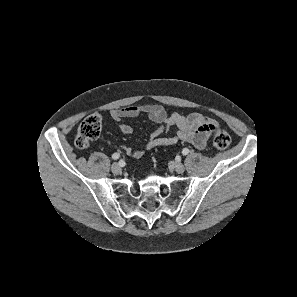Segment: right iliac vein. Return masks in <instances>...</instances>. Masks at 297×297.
I'll list each match as a JSON object with an SVG mask.
<instances>
[{
	"instance_id": "obj_1",
	"label": "right iliac vein",
	"mask_w": 297,
	"mask_h": 297,
	"mask_svg": "<svg viewBox=\"0 0 297 297\" xmlns=\"http://www.w3.org/2000/svg\"><path fill=\"white\" fill-rule=\"evenodd\" d=\"M111 170L114 174H119L122 170L121 165L119 163H114L111 166Z\"/></svg>"
}]
</instances>
